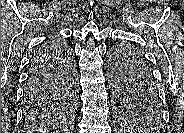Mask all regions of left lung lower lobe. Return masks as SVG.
Wrapping results in <instances>:
<instances>
[{
    "instance_id": "1",
    "label": "left lung lower lobe",
    "mask_w": 184,
    "mask_h": 133,
    "mask_svg": "<svg viewBox=\"0 0 184 133\" xmlns=\"http://www.w3.org/2000/svg\"><path fill=\"white\" fill-rule=\"evenodd\" d=\"M134 84H135V87L138 89V91L142 92V93H150V92H156L157 91V88L156 89L153 88L151 85L147 84L144 81H137Z\"/></svg>"
}]
</instances>
